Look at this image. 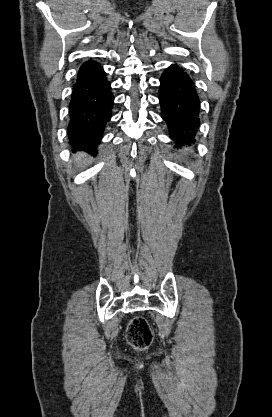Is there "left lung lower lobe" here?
<instances>
[{"mask_svg":"<svg viewBox=\"0 0 272 417\" xmlns=\"http://www.w3.org/2000/svg\"><path fill=\"white\" fill-rule=\"evenodd\" d=\"M161 116L176 143L193 140L200 121V101L192 79L183 68L172 64L160 78Z\"/></svg>","mask_w":272,"mask_h":417,"instance_id":"1","label":"left lung lower lobe"}]
</instances>
